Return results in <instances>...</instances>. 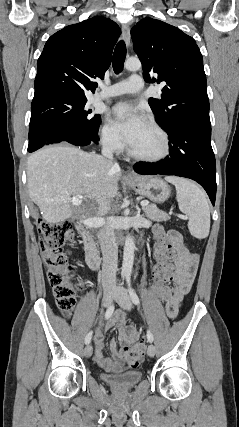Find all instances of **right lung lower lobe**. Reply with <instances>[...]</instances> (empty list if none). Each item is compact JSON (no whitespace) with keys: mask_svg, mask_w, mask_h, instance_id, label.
<instances>
[{"mask_svg":"<svg viewBox=\"0 0 239 427\" xmlns=\"http://www.w3.org/2000/svg\"><path fill=\"white\" fill-rule=\"evenodd\" d=\"M99 126H100V124H99ZM99 126H98L96 132L92 135V139L89 141H73V140L68 139L67 137H61V138H57V139L48 138L42 143L41 146L36 147L34 149H28V151L33 152V151H35V150H37L43 146L52 145V144H59V143L72 144V145L85 147V148L96 146L98 143V140H99V137H98Z\"/></svg>","mask_w":239,"mask_h":427,"instance_id":"98d812e1","label":"right lung lower lobe"}]
</instances>
